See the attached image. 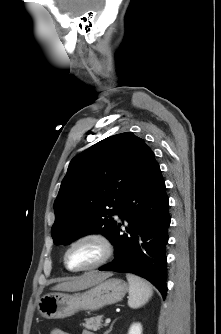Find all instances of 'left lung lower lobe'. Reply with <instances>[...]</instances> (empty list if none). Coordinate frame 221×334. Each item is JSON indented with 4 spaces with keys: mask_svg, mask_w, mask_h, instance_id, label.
Listing matches in <instances>:
<instances>
[{
    "mask_svg": "<svg viewBox=\"0 0 221 334\" xmlns=\"http://www.w3.org/2000/svg\"><path fill=\"white\" fill-rule=\"evenodd\" d=\"M169 199L160 167L154 159L124 198L119 217L128 222L126 232L116 223L111 243L115 259L99 270L131 272L150 281L166 296Z\"/></svg>",
    "mask_w": 221,
    "mask_h": 334,
    "instance_id": "obj_1",
    "label": "left lung lower lobe"
}]
</instances>
